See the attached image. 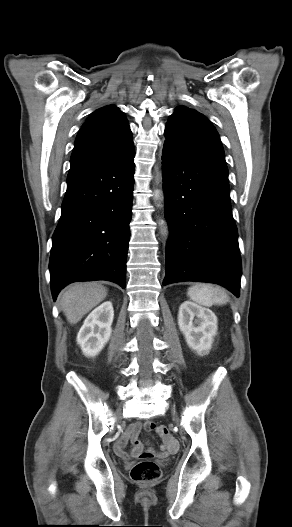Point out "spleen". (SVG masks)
Masks as SVG:
<instances>
[{
    "mask_svg": "<svg viewBox=\"0 0 292 527\" xmlns=\"http://www.w3.org/2000/svg\"><path fill=\"white\" fill-rule=\"evenodd\" d=\"M190 299L200 305L211 307L212 305H223L229 301L226 292L219 287H212L210 285L197 284L187 291Z\"/></svg>",
    "mask_w": 292,
    "mask_h": 527,
    "instance_id": "obj_1",
    "label": "spleen"
}]
</instances>
